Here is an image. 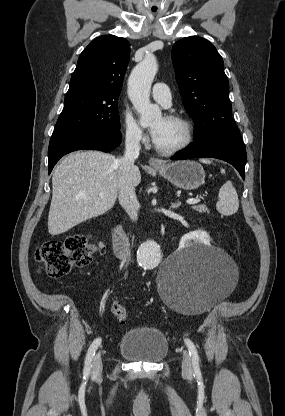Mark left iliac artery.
Masks as SVG:
<instances>
[{"label":"left iliac artery","instance_id":"44dca946","mask_svg":"<svg viewBox=\"0 0 285 416\" xmlns=\"http://www.w3.org/2000/svg\"><path fill=\"white\" fill-rule=\"evenodd\" d=\"M184 341H185V344L188 347L189 354L192 358V366H193V371H194V377H196L198 380H201L202 379V374H201V370H200V366H199V356H198L197 349H196L194 343L190 339H185Z\"/></svg>","mask_w":285,"mask_h":416}]
</instances>
